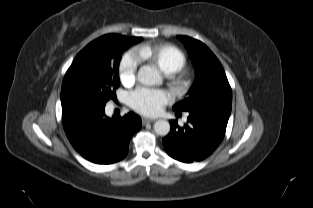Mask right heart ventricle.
<instances>
[{
    "label": "right heart ventricle",
    "mask_w": 313,
    "mask_h": 208,
    "mask_svg": "<svg viewBox=\"0 0 313 208\" xmlns=\"http://www.w3.org/2000/svg\"><path fill=\"white\" fill-rule=\"evenodd\" d=\"M141 60H147L157 66L165 74H174L186 63L183 52L171 44H147L138 48Z\"/></svg>",
    "instance_id": "1"
}]
</instances>
